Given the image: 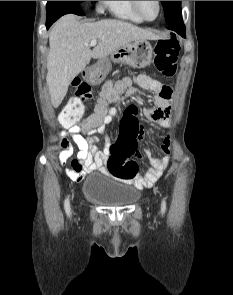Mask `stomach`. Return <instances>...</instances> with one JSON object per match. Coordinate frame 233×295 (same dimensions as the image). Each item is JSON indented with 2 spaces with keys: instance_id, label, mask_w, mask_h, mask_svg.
I'll use <instances>...</instances> for the list:
<instances>
[{
  "instance_id": "1",
  "label": "stomach",
  "mask_w": 233,
  "mask_h": 295,
  "mask_svg": "<svg viewBox=\"0 0 233 295\" xmlns=\"http://www.w3.org/2000/svg\"><path fill=\"white\" fill-rule=\"evenodd\" d=\"M153 47L148 39L134 40L111 54V60L134 68L148 66L153 58ZM110 60H101L87 72L86 79L93 84H99L110 70Z\"/></svg>"
}]
</instances>
